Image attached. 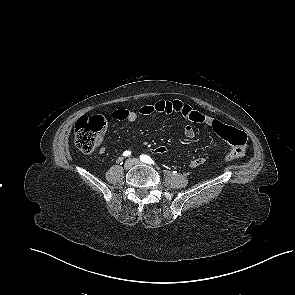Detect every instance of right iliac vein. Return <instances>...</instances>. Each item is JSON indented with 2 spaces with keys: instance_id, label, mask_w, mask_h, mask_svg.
Masks as SVG:
<instances>
[{
  "instance_id": "obj_1",
  "label": "right iliac vein",
  "mask_w": 295,
  "mask_h": 295,
  "mask_svg": "<svg viewBox=\"0 0 295 295\" xmlns=\"http://www.w3.org/2000/svg\"><path fill=\"white\" fill-rule=\"evenodd\" d=\"M132 166H133V162H132L131 160H127V161L124 163V168H125L126 170L131 169Z\"/></svg>"
}]
</instances>
